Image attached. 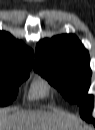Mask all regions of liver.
<instances>
[{
  "instance_id": "1",
  "label": "liver",
  "mask_w": 95,
  "mask_h": 130,
  "mask_svg": "<svg viewBox=\"0 0 95 130\" xmlns=\"http://www.w3.org/2000/svg\"><path fill=\"white\" fill-rule=\"evenodd\" d=\"M0 130H82L68 116L42 110H21L2 113Z\"/></svg>"
}]
</instances>
